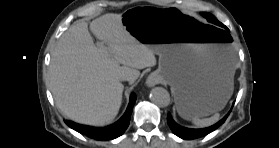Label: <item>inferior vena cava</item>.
I'll use <instances>...</instances> for the list:
<instances>
[{
  "instance_id": "obj_1",
  "label": "inferior vena cava",
  "mask_w": 279,
  "mask_h": 148,
  "mask_svg": "<svg viewBox=\"0 0 279 148\" xmlns=\"http://www.w3.org/2000/svg\"><path fill=\"white\" fill-rule=\"evenodd\" d=\"M120 80H121V81H128V80H129V77H128L127 75H122V76L120 77Z\"/></svg>"
}]
</instances>
